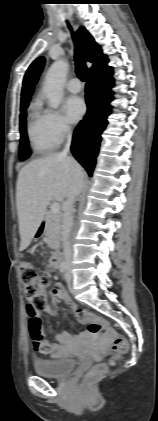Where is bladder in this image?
<instances>
[{
  "mask_svg": "<svg viewBox=\"0 0 158 421\" xmlns=\"http://www.w3.org/2000/svg\"><path fill=\"white\" fill-rule=\"evenodd\" d=\"M77 366V361L72 357L55 359H37L33 362L37 375L47 378H62L69 375Z\"/></svg>",
  "mask_w": 158,
  "mask_h": 421,
  "instance_id": "31cf9c89",
  "label": "bladder"
}]
</instances>
